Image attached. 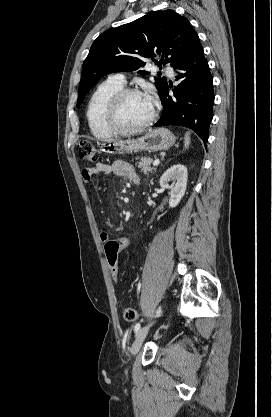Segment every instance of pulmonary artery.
I'll list each match as a JSON object with an SVG mask.
<instances>
[{"mask_svg":"<svg viewBox=\"0 0 272 417\" xmlns=\"http://www.w3.org/2000/svg\"><path fill=\"white\" fill-rule=\"evenodd\" d=\"M167 72L170 76H173V70L171 68L167 69ZM112 79L116 80L117 82H119L120 84L124 85L126 83L125 77L123 74L121 73H116L112 76Z\"/></svg>","mask_w":272,"mask_h":417,"instance_id":"e3ab8cb5","label":"pulmonary artery"}]
</instances>
